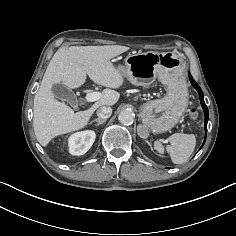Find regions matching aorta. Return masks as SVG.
I'll list each match as a JSON object with an SVG mask.
<instances>
[{
	"label": "aorta",
	"instance_id": "obj_1",
	"mask_svg": "<svg viewBox=\"0 0 236 236\" xmlns=\"http://www.w3.org/2000/svg\"><path fill=\"white\" fill-rule=\"evenodd\" d=\"M118 119L123 125H131L134 121V113L131 110H123L120 112Z\"/></svg>",
	"mask_w": 236,
	"mask_h": 236
}]
</instances>
